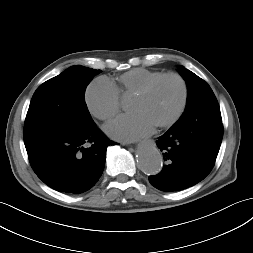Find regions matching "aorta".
<instances>
[{"instance_id":"762f6f07","label":"aorta","mask_w":253,"mask_h":253,"mask_svg":"<svg viewBox=\"0 0 253 253\" xmlns=\"http://www.w3.org/2000/svg\"><path fill=\"white\" fill-rule=\"evenodd\" d=\"M138 168L148 175H157L162 170L163 158L153 142L142 144L136 153Z\"/></svg>"}]
</instances>
